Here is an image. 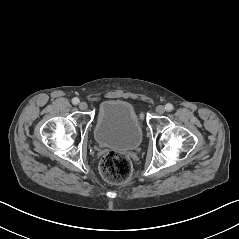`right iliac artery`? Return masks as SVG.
Wrapping results in <instances>:
<instances>
[{"label":"right iliac artery","instance_id":"right-iliac-artery-1","mask_svg":"<svg viewBox=\"0 0 239 239\" xmlns=\"http://www.w3.org/2000/svg\"><path fill=\"white\" fill-rule=\"evenodd\" d=\"M72 103H73L74 105H77V104L79 103V99H78L77 97L73 98V99H72Z\"/></svg>","mask_w":239,"mask_h":239}]
</instances>
